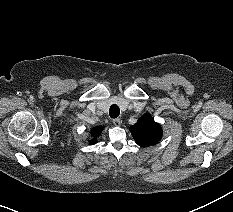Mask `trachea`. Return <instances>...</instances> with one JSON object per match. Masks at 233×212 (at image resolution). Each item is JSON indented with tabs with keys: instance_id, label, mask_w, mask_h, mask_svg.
<instances>
[{
	"instance_id": "trachea-1",
	"label": "trachea",
	"mask_w": 233,
	"mask_h": 212,
	"mask_svg": "<svg viewBox=\"0 0 233 212\" xmlns=\"http://www.w3.org/2000/svg\"><path fill=\"white\" fill-rule=\"evenodd\" d=\"M120 114V109L116 104H113L109 109V115L111 118H117Z\"/></svg>"
}]
</instances>
